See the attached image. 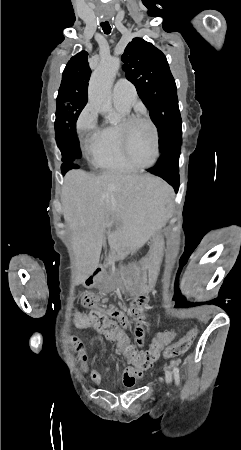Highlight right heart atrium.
I'll list each match as a JSON object with an SVG mask.
<instances>
[{"label":"right heart atrium","instance_id":"1","mask_svg":"<svg viewBox=\"0 0 241 450\" xmlns=\"http://www.w3.org/2000/svg\"><path fill=\"white\" fill-rule=\"evenodd\" d=\"M100 123L99 116H81L80 124L85 130H91L89 133V140H94V130L97 129V125ZM79 137L82 139V134H79ZM85 153L87 155H92L94 153L93 143L87 142Z\"/></svg>","mask_w":241,"mask_h":450}]
</instances>
